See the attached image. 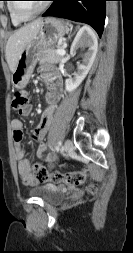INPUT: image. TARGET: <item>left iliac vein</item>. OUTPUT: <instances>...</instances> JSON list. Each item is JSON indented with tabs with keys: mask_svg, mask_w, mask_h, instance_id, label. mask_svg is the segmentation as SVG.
Segmentation results:
<instances>
[{
	"mask_svg": "<svg viewBox=\"0 0 133 253\" xmlns=\"http://www.w3.org/2000/svg\"><path fill=\"white\" fill-rule=\"evenodd\" d=\"M73 149V142L70 139H67L64 143V151L69 152Z\"/></svg>",
	"mask_w": 133,
	"mask_h": 253,
	"instance_id": "4c4485c4",
	"label": "left iliac vein"
}]
</instances>
